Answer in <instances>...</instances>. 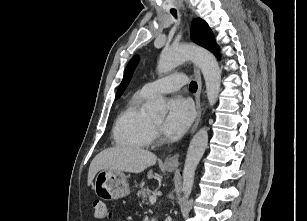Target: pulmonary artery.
<instances>
[{
  "instance_id": "pulmonary-artery-1",
  "label": "pulmonary artery",
  "mask_w": 307,
  "mask_h": 221,
  "mask_svg": "<svg viewBox=\"0 0 307 221\" xmlns=\"http://www.w3.org/2000/svg\"><path fill=\"white\" fill-rule=\"evenodd\" d=\"M186 82L187 79L184 74L176 73L145 84L141 91L154 97L160 94L175 92L184 86Z\"/></svg>"
}]
</instances>
